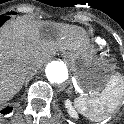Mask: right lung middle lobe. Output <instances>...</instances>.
Returning a JSON list of instances; mask_svg holds the SVG:
<instances>
[{"mask_svg":"<svg viewBox=\"0 0 124 124\" xmlns=\"http://www.w3.org/2000/svg\"><path fill=\"white\" fill-rule=\"evenodd\" d=\"M8 14H15V12H8Z\"/></svg>","mask_w":124,"mask_h":124,"instance_id":"1","label":"right lung middle lobe"}]
</instances>
